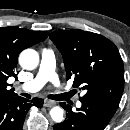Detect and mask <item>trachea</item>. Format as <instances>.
<instances>
[{
  "label": "trachea",
  "mask_w": 130,
  "mask_h": 130,
  "mask_svg": "<svg viewBox=\"0 0 130 130\" xmlns=\"http://www.w3.org/2000/svg\"><path fill=\"white\" fill-rule=\"evenodd\" d=\"M71 95L72 93H63L57 95H49L48 98L52 100L62 101V100H67ZM24 96L30 98L29 94H24Z\"/></svg>",
  "instance_id": "1"
}]
</instances>
